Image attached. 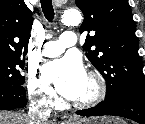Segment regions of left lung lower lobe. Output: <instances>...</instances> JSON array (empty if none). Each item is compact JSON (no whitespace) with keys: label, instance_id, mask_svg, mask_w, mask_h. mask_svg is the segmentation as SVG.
Wrapping results in <instances>:
<instances>
[{"label":"left lung lower lobe","instance_id":"1","mask_svg":"<svg viewBox=\"0 0 145 124\" xmlns=\"http://www.w3.org/2000/svg\"><path fill=\"white\" fill-rule=\"evenodd\" d=\"M76 114L81 116H121L139 124H145V95L123 92L110 99H105L95 107L77 111Z\"/></svg>","mask_w":145,"mask_h":124}]
</instances>
